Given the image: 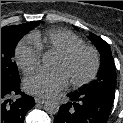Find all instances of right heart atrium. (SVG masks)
Segmentation results:
<instances>
[{"mask_svg":"<svg viewBox=\"0 0 123 123\" xmlns=\"http://www.w3.org/2000/svg\"><path fill=\"white\" fill-rule=\"evenodd\" d=\"M41 51L32 40L22 39L15 49V60L18 67L25 73L31 72L40 62Z\"/></svg>","mask_w":123,"mask_h":123,"instance_id":"right-heart-atrium-1","label":"right heart atrium"}]
</instances>
